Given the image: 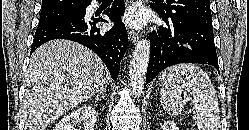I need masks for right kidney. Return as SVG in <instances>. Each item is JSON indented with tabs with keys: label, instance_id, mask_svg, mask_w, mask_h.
<instances>
[{
	"label": "right kidney",
	"instance_id": "obj_1",
	"mask_svg": "<svg viewBox=\"0 0 249 130\" xmlns=\"http://www.w3.org/2000/svg\"><path fill=\"white\" fill-rule=\"evenodd\" d=\"M97 112L92 106H82L64 116L55 126L54 130H77L76 125H81L84 130H94Z\"/></svg>",
	"mask_w": 249,
	"mask_h": 130
}]
</instances>
